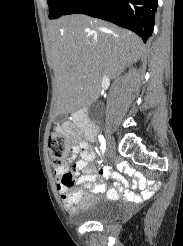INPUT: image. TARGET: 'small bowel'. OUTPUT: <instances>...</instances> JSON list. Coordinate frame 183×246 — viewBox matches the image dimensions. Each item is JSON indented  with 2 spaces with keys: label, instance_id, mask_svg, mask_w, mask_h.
Instances as JSON below:
<instances>
[{
  "label": "small bowel",
  "instance_id": "small-bowel-1",
  "mask_svg": "<svg viewBox=\"0 0 183 246\" xmlns=\"http://www.w3.org/2000/svg\"><path fill=\"white\" fill-rule=\"evenodd\" d=\"M93 141L94 139H89ZM70 160H73L77 154H80V159L74 164H69V162L59 168L54 170L56 177V187L60 194V197L64 203V206L70 211H76L79 207L85 206L89 203L91 198H83L82 192L84 190L91 191L94 193H106L107 197L111 200L119 199L123 197L127 200H137L143 198H152V187L148 189L147 180L144 177H140L136 174V169L134 165H117L115 172H112L109 166H102L96 169L91 162L95 159V152L91 149L90 144L86 140H80L77 144H73L70 147ZM83 170L84 174L77 173ZM130 174V179H137L135 188L136 189H148L141 195H134L127 192L126 189L129 187V182L120 174ZM72 173H68V172ZM97 174H100L105 179H114L115 187L108 188L103 183L95 185L97 179ZM64 178H74L72 184H67ZM74 182L77 186H74ZM72 188V191L70 190ZM80 202L79 207H74V202Z\"/></svg>",
  "mask_w": 183,
  "mask_h": 246
}]
</instances>
